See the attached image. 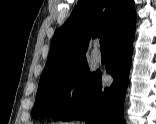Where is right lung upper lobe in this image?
I'll return each instance as SVG.
<instances>
[{"mask_svg":"<svg viewBox=\"0 0 156 124\" xmlns=\"http://www.w3.org/2000/svg\"><path fill=\"white\" fill-rule=\"evenodd\" d=\"M133 0H78L66 22L55 32L42 72L45 78L86 62L91 37H107L108 47L135 27Z\"/></svg>","mask_w":156,"mask_h":124,"instance_id":"right-lung-upper-lobe-1","label":"right lung upper lobe"}]
</instances>
